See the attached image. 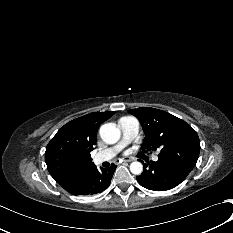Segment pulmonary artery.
Wrapping results in <instances>:
<instances>
[{
    "label": "pulmonary artery",
    "instance_id": "pulmonary-artery-1",
    "mask_svg": "<svg viewBox=\"0 0 233 233\" xmlns=\"http://www.w3.org/2000/svg\"><path fill=\"white\" fill-rule=\"evenodd\" d=\"M119 127L122 133L120 141L116 145L97 153L94 156L96 164L111 160L137 136L140 128L138 120L134 117H122L119 120ZM153 160L157 161L158 156H153Z\"/></svg>",
    "mask_w": 233,
    "mask_h": 233
}]
</instances>
